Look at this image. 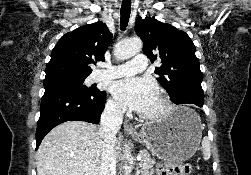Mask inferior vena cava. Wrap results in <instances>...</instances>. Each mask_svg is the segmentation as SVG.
<instances>
[{
	"label": "inferior vena cava",
	"mask_w": 251,
	"mask_h": 175,
	"mask_svg": "<svg viewBox=\"0 0 251 175\" xmlns=\"http://www.w3.org/2000/svg\"><path fill=\"white\" fill-rule=\"evenodd\" d=\"M124 113L125 107L120 105H108L102 111L98 129L99 135L103 137L100 175H116L114 143L117 141L116 133L121 127Z\"/></svg>",
	"instance_id": "inferior-vena-cava-1"
}]
</instances>
